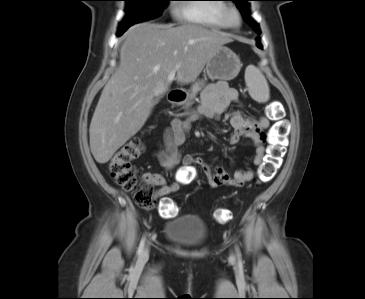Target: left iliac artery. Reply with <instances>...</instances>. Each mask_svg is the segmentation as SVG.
<instances>
[{
  "label": "left iliac artery",
  "instance_id": "1",
  "mask_svg": "<svg viewBox=\"0 0 365 299\" xmlns=\"http://www.w3.org/2000/svg\"><path fill=\"white\" fill-rule=\"evenodd\" d=\"M236 252H237V256H238V258L240 259L241 254H240V251H239V248H238V247H236Z\"/></svg>",
  "mask_w": 365,
  "mask_h": 299
}]
</instances>
